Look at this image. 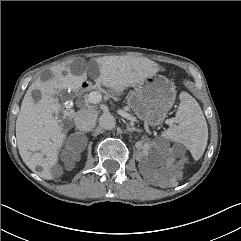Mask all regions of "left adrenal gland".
Here are the masks:
<instances>
[{
  "mask_svg": "<svg viewBox=\"0 0 241 241\" xmlns=\"http://www.w3.org/2000/svg\"><path fill=\"white\" fill-rule=\"evenodd\" d=\"M127 130H128L129 132H133V131L140 132V129L135 128V127L130 126V125H127Z\"/></svg>",
  "mask_w": 241,
  "mask_h": 241,
  "instance_id": "obj_1",
  "label": "left adrenal gland"
}]
</instances>
